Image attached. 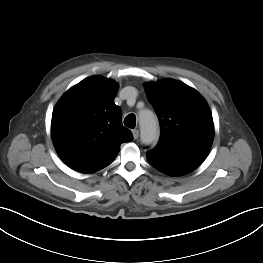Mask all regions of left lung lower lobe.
I'll return each mask as SVG.
<instances>
[{"instance_id":"left-lung-lower-lobe-1","label":"left lung lower lobe","mask_w":263,"mask_h":263,"mask_svg":"<svg viewBox=\"0 0 263 263\" xmlns=\"http://www.w3.org/2000/svg\"><path fill=\"white\" fill-rule=\"evenodd\" d=\"M146 158L151 166L170 176L187 174L202 163L200 161L168 158L152 151L146 153Z\"/></svg>"}]
</instances>
